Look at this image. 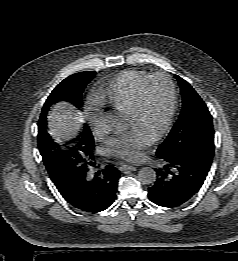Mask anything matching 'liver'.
<instances>
[{
    "label": "liver",
    "mask_w": 238,
    "mask_h": 261,
    "mask_svg": "<svg viewBox=\"0 0 238 261\" xmlns=\"http://www.w3.org/2000/svg\"><path fill=\"white\" fill-rule=\"evenodd\" d=\"M82 121L81 114L73 107H69L67 103H59L48 116L50 134L57 141L68 140L77 133Z\"/></svg>",
    "instance_id": "obj_1"
}]
</instances>
